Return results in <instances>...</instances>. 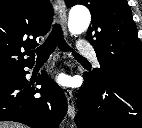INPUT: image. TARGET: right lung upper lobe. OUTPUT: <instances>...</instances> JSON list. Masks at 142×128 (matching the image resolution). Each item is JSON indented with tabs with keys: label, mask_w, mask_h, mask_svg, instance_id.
<instances>
[{
	"label": "right lung upper lobe",
	"mask_w": 142,
	"mask_h": 128,
	"mask_svg": "<svg viewBox=\"0 0 142 128\" xmlns=\"http://www.w3.org/2000/svg\"><path fill=\"white\" fill-rule=\"evenodd\" d=\"M53 9L48 0H0V75L34 64L31 48L50 28ZM25 52H21V49ZM30 57L24 59L25 55Z\"/></svg>",
	"instance_id": "1"
}]
</instances>
